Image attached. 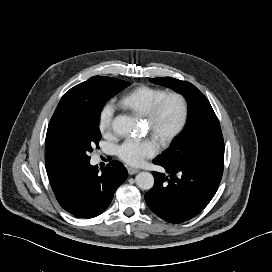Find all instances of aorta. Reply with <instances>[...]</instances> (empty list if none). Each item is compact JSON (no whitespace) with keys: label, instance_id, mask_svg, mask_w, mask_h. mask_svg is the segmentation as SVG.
Masks as SVG:
<instances>
[{"label":"aorta","instance_id":"obj_1","mask_svg":"<svg viewBox=\"0 0 272 272\" xmlns=\"http://www.w3.org/2000/svg\"><path fill=\"white\" fill-rule=\"evenodd\" d=\"M113 131L120 136H130L138 131V121L129 115H118L112 121ZM136 184L142 190H150L154 185V177L149 172L136 175Z\"/></svg>","mask_w":272,"mask_h":272}]
</instances>
